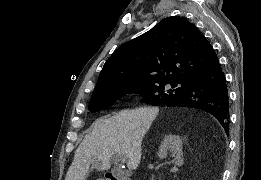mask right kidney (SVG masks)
Instances as JSON below:
<instances>
[{
	"instance_id": "1",
	"label": "right kidney",
	"mask_w": 261,
	"mask_h": 180,
	"mask_svg": "<svg viewBox=\"0 0 261 180\" xmlns=\"http://www.w3.org/2000/svg\"><path fill=\"white\" fill-rule=\"evenodd\" d=\"M167 152H171V160L175 166H182L184 162L183 152H182V140L180 136H174V134H168L165 136L158 152L159 158H167Z\"/></svg>"
}]
</instances>
